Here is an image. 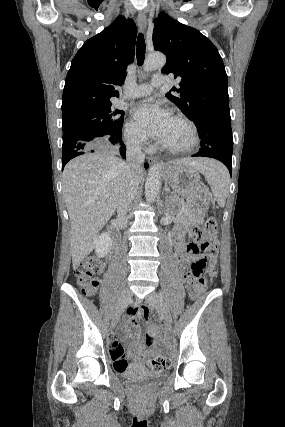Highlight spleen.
<instances>
[{"mask_svg":"<svg viewBox=\"0 0 285 427\" xmlns=\"http://www.w3.org/2000/svg\"><path fill=\"white\" fill-rule=\"evenodd\" d=\"M203 175L210 185L212 194L217 200L218 205L224 207L230 185V174L228 170L223 164L215 161L214 164L206 169Z\"/></svg>","mask_w":285,"mask_h":427,"instance_id":"spleen-1","label":"spleen"}]
</instances>
